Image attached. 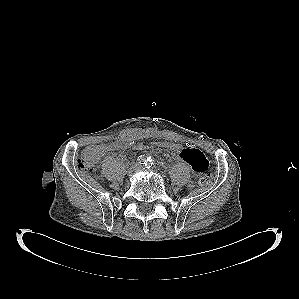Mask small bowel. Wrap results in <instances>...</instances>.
Masks as SVG:
<instances>
[{"label":"small bowel","instance_id":"1","mask_svg":"<svg viewBox=\"0 0 299 299\" xmlns=\"http://www.w3.org/2000/svg\"><path fill=\"white\" fill-rule=\"evenodd\" d=\"M121 141L127 146L124 151L128 150L134 143V139L130 137L123 138ZM172 151H174L182 161L189 164L194 172L203 173L208 169L209 163L207 158L194 146L189 145L188 147H183L178 145V148Z\"/></svg>","mask_w":299,"mask_h":299}]
</instances>
